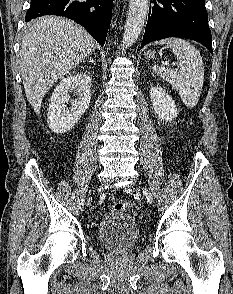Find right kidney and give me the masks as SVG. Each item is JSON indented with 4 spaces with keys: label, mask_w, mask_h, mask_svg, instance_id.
<instances>
[{
    "label": "right kidney",
    "mask_w": 233,
    "mask_h": 294,
    "mask_svg": "<svg viewBox=\"0 0 233 294\" xmlns=\"http://www.w3.org/2000/svg\"><path fill=\"white\" fill-rule=\"evenodd\" d=\"M78 99L70 100V93ZM91 100V77L83 72L71 73L56 86L49 100L47 122L49 128L62 134L69 131L89 108ZM70 103L72 107L66 108Z\"/></svg>",
    "instance_id": "right-kidney-1"
}]
</instances>
